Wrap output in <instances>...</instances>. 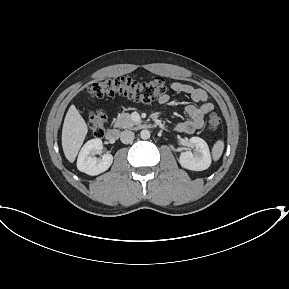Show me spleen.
<instances>
[{
  "mask_svg": "<svg viewBox=\"0 0 289 289\" xmlns=\"http://www.w3.org/2000/svg\"><path fill=\"white\" fill-rule=\"evenodd\" d=\"M223 150H224V141L218 140L213 145V148H212V156H213L214 161H217L221 157Z\"/></svg>",
  "mask_w": 289,
  "mask_h": 289,
  "instance_id": "3e777b00",
  "label": "spleen"
}]
</instances>
